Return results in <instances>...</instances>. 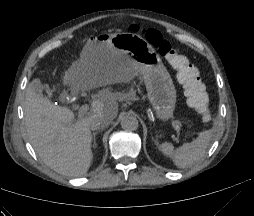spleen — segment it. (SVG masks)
Wrapping results in <instances>:
<instances>
[{
    "label": "spleen",
    "instance_id": "3e777b00",
    "mask_svg": "<svg viewBox=\"0 0 254 216\" xmlns=\"http://www.w3.org/2000/svg\"><path fill=\"white\" fill-rule=\"evenodd\" d=\"M212 136V130H205L200 132L198 137L191 143H185L174 149L171 143L165 142L160 145V150L163 154L172 158L178 168H186L203 158Z\"/></svg>",
    "mask_w": 254,
    "mask_h": 216
}]
</instances>
